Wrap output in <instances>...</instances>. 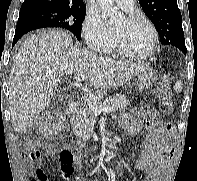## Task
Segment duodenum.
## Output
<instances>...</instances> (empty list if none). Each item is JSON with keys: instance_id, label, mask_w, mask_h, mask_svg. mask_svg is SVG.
Listing matches in <instances>:
<instances>
[{"instance_id": "410a0bca", "label": "duodenum", "mask_w": 197, "mask_h": 181, "mask_svg": "<svg viewBox=\"0 0 197 181\" xmlns=\"http://www.w3.org/2000/svg\"><path fill=\"white\" fill-rule=\"evenodd\" d=\"M78 104L76 102H72L68 107L69 114H75L78 111Z\"/></svg>"}]
</instances>
